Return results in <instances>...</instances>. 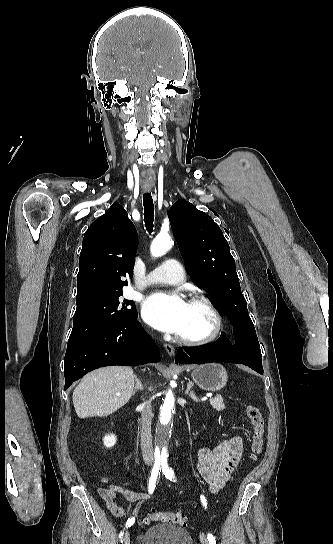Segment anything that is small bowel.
Segmentation results:
<instances>
[{
  "mask_svg": "<svg viewBox=\"0 0 333 544\" xmlns=\"http://www.w3.org/2000/svg\"><path fill=\"white\" fill-rule=\"evenodd\" d=\"M243 454V440L233 436L218 443L214 448L200 447L197 452V469L202 479L207 483L212 493H217L226 484L232 473L238 467ZM100 497L105 501L109 512L118 518L130 515V519L138 520L143 503L151 498L150 493L135 492L117 484L98 489ZM121 495L136 506L131 510L123 508L116 496Z\"/></svg>",
  "mask_w": 333,
  "mask_h": 544,
  "instance_id": "c3829d8e",
  "label": "small bowel"
}]
</instances>
